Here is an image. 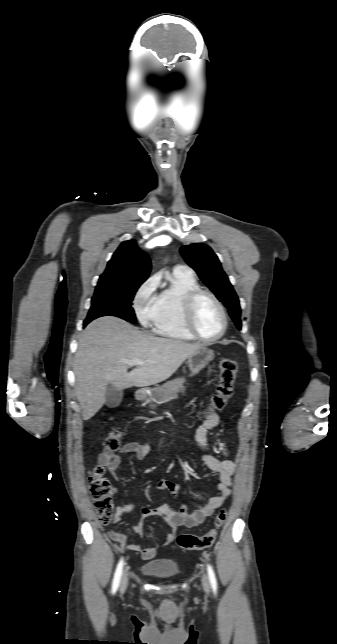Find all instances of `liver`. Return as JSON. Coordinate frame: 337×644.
Listing matches in <instances>:
<instances>
[{
    "label": "liver",
    "instance_id": "6515ba94",
    "mask_svg": "<svg viewBox=\"0 0 337 644\" xmlns=\"http://www.w3.org/2000/svg\"><path fill=\"white\" fill-rule=\"evenodd\" d=\"M202 346L155 337L117 317L94 320L83 331L74 360L75 390L83 420L101 409L110 384L122 390L160 383ZM133 359L146 363L128 372L124 361Z\"/></svg>",
    "mask_w": 337,
    "mask_h": 644
}]
</instances>
